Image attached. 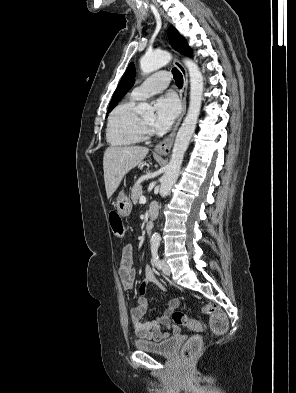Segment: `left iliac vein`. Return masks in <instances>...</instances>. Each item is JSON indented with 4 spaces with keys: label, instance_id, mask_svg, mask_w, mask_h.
I'll return each mask as SVG.
<instances>
[{
    "label": "left iliac vein",
    "instance_id": "1",
    "mask_svg": "<svg viewBox=\"0 0 296 393\" xmlns=\"http://www.w3.org/2000/svg\"><path fill=\"white\" fill-rule=\"evenodd\" d=\"M162 271L165 275H169L171 273L170 266L166 260H162Z\"/></svg>",
    "mask_w": 296,
    "mask_h": 393
}]
</instances>
